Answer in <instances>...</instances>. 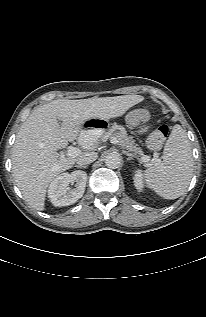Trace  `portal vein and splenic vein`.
Segmentation results:
<instances>
[{
	"label": "portal vein and splenic vein",
	"mask_w": 206,
	"mask_h": 317,
	"mask_svg": "<svg viewBox=\"0 0 206 317\" xmlns=\"http://www.w3.org/2000/svg\"><path fill=\"white\" fill-rule=\"evenodd\" d=\"M87 140H88V139H85V140L83 141V143L88 142ZM111 143H113V144H118L119 142H118V140H117L115 137H112V138H111ZM80 153H81V150H80L79 148L70 146V147L68 148L67 152H66V155H67V156H70V157H77V156H79ZM61 155L64 156V153L62 152ZM141 159H142L143 162H146V161L149 160V157L146 156V155H144Z\"/></svg>",
	"instance_id": "obj_1"
}]
</instances>
